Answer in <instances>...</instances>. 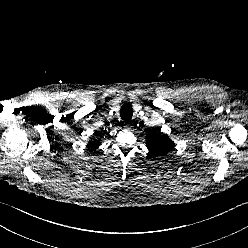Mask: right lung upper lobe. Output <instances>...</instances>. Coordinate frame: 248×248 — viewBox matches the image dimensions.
Returning a JSON list of instances; mask_svg holds the SVG:
<instances>
[{
  "instance_id": "cb5924a9",
  "label": "right lung upper lobe",
  "mask_w": 248,
  "mask_h": 248,
  "mask_svg": "<svg viewBox=\"0 0 248 248\" xmlns=\"http://www.w3.org/2000/svg\"><path fill=\"white\" fill-rule=\"evenodd\" d=\"M99 145H100V142L97 141V140L91 141V142L88 144V146H89L90 148H92V147L97 148V147H99Z\"/></svg>"
}]
</instances>
